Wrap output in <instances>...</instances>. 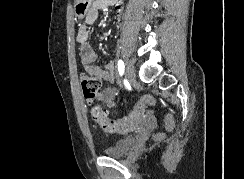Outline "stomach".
<instances>
[{
    "label": "stomach",
    "mask_w": 244,
    "mask_h": 179,
    "mask_svg": "<svg viewBox=\"0 0 244 179\" xmlns=\"http://www.w3.org/2000/svg\"><path fill=\"white\" fill-rule=\"evenodd\" d=\"M91 4V0H77V10H76V16L77 18H84L89 6Z\"/></svg>",
    "instance_id": "0dacf381"
}]
</instances>
